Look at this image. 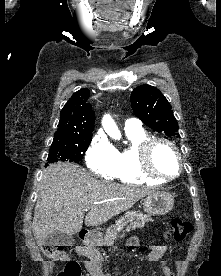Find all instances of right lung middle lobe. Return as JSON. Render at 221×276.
I'll use <instances>...</instances> for the list:
<instances>
[{"instance_id": "obj_1", "label": "right lung middle lobe", "mask_w": 221, "mask_h": 276, "mask_svg": "<svg viewBox=\"0 0 221 276\" xmlns=\"http://www.w3.org/2000/svg\"><path fill=\"white\" fill-rule=\"evenodd\" d=\"M92 137H83L69 140H53L50 147L48 163L69 161L78 163L83 158L90 145Z\"/></svg>"}]
</instances>
